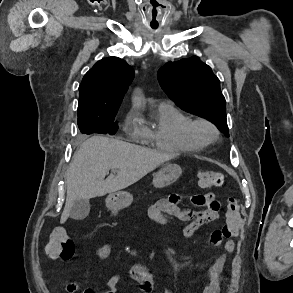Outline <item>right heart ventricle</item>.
<instances>
[{
	"mask_svg": "<svg viewBox=\"0 0 293 293\" xmlns=\"http://www.w3.org/2000/svg\"><path fill=\"white\" fill-rule=\"evenodd\" d=\"M191 118L174 105H159L151 126H141L140 135L156 149L170 152H194L200 147L188 136Z\"/></svg>",
	"mask_w": 293,
	"mask_h": 293,
	"instance_id": "right-heart-ventricle-1",
	"label": "right heart ventricle"
}]
</instances>
